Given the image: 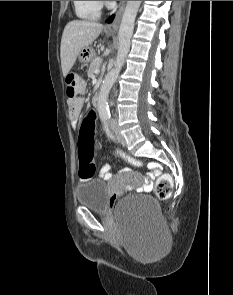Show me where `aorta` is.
<instances>
[{"instance_id": "obj_1", "label": "aorta", "mask_w": 233, "mask_h": 295, "mask_svg": "<svg viewBox=\"0 0 233 295\" xmlns=\"http://www.w3.org/2000/svg\"><path fill=\"white\" fill-rule=\"evenodd\" d=\"M141 1H127L118 33L119 48L114 67L108 72L98 97V112L102 116L109 115L108 94L116 81L131 45L134 22Z\"/></svg>"}]
</instances>
